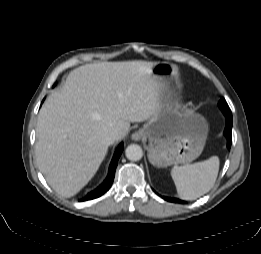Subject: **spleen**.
<instances>
[{
    "instance_id": "obj_1",
    "label": "spleen",
    "mask_w": 261,
    "mask_h": 254,
    "mask_svg": "<svg viewBox=\"0 0 261 254\" xmlns=\"http://www.w3.org/2000/svg\"><path fill=\"white\" fill-rule=\"evenodd\" d=\"M218 171L219 158L212 156L202 162L174 167L171 176L179 197L195 200L213 187Z\"/></svg>"
}]
</instances>
